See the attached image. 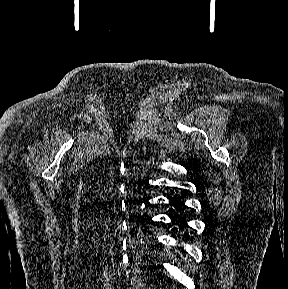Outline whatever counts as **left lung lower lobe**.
<instances>
[{
	"label": "left lung lower lobe",
	"mask_w": 288,
	"mask_h": 289,
	"mask_svg": "<svg viewBox=\"0 0 288 289\" xmlns=\"http://www.w3.org/2000/svg\"><path fill=\"white\" fill-rule=\"evenodd\" d=\"M173 199H174L173 206H174L175 208H176V207L178 208L180 205L178 204L176 198H173ZM178 217H179V215H178V214H175L173 220H176L177 225L182 227V224H180L181 219H177Z\"/></svg>",
	"instance_id": "0a47b994"
}]
</instances>
